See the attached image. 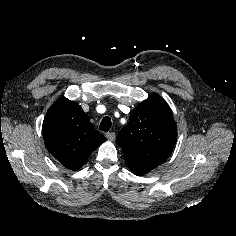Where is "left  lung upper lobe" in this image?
Listing matches in <instances>:
<instances>
[{
    "instance_id": "left-lung-upper-lobe-1",
    "label": "left lung upper lobe",
    "mask_w": 236,
    "mask_h": 236,
    "mask_svg": "<svg viewBox=\"0 0 236 236\" xmlns=\"http://www.w3.org/2000/svg\"><path fill=\"white\" fill-rule=\"evenodd\" d=\"M176 140L177 128L172 112L156 93L131 112L129 123L117 136L126 161L154 167L168 159Z\"/></svg>"
}]
</instances>
